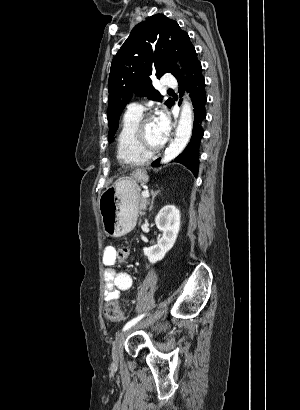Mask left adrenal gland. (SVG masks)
Instances as JSON below:
<instances>
[{"instance_id":"left-adrenal-gland-1","label":"left adrenal gland","mask_w":300,"mask_h":410,"mask_svg":"<svg viewBox=\"0 0 300 410\" xmlns=\"http://www.w3.org/2000/svg\"><path fill=\"white\" fill-rule=\"evenodd\" d=\"M158 193H159V190L155 191V192L153 190H151L152 199H151V202H150L149 211L152 210L153 205H154L155 197L157 196Z\"/></svg>"}]
</instances>
